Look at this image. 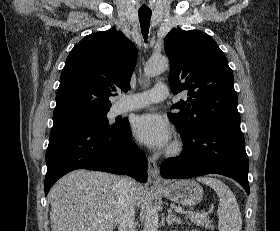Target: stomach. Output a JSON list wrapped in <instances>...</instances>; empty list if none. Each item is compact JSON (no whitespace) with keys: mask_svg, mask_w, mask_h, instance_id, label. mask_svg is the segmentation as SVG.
I'll return each instance as SVG.
<instances>
[{"mask_svg":"<svg viewBox=\"0 0 280 231\" xmlns=\"http://www.w3.org/2000/svg\"><path fill=\"white\" fill-rule=\"evenodd\" d=\"M162 191L167 199L183 203V205H196L203 197V189L193 179H180V181H168Z\"/></svg>","mask_w":280,"mask_h":231,"instance_id":"obj_1","label":"stomach"}]
</instances>
